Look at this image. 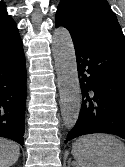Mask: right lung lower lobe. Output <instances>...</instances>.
<instances>
[{"mask_svg": "<svg viewBox=\"0 0 125 167\" xmlns=\"http://www.w3.org/2000/svg\"><path fill=\"white\" fill-rule=\"evenodd\" d=\"M26 66L18 30L0 33V136L24 144Z\"/></svg>", "mask_w": 125, "mask_h": 167, "instance_id": "1", "label": "right lung lower lobe"}]
</instances>
